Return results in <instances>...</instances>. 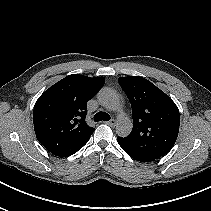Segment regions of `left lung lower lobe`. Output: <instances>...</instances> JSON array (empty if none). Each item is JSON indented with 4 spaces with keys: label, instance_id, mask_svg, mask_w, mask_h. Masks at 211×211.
Returning a JSON list of instances; mask_svg holds the SVG:
<instances>
[{
    "label": "left lung lower lobe",
    "instance_id": "1",
    "mask_svg": "<svg viewBox=\"0 0 211 211\" xmlns=\"http://www.w3.org/2000/svg\"><path fill=\"white\" fill-rule=\"evenodd\" d=\"M117 141L119 143V145L122 147V140L121 137L117 138ZM126 151V150H125ZM126 153L132 157L134 160L140 161V162H151L154 161L155 159L146 155H142V154H138V153H134V152H130V151H126Z\"/></svg>",
    "mask_w": 211,
    "mask_h": 211
}]
</instances>
